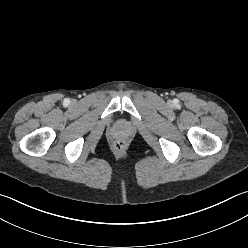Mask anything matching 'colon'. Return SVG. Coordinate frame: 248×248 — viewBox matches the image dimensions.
Masks as SVG:
<instances>
[{"mask_svg":"<svg viewBox=\"0 0 248 248\" xmlns=\"http://www.w3.org/2000/svg\"><path fill=\"white\" fill-rule=\"evenodd\" d=\"M126 148V142L123 139H118L114 143V149L118 152L124 151Z\"/></svg>","mask_w":248,"mask_h":248,"instance_id":"colon-1","label":"colon"}]
</instances>
